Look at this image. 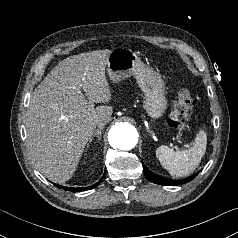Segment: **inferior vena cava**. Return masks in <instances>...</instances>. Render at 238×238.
<instances>
[{
    "instance_id": "obj_1",
    "label": "inferior vena cava",
    "mask_w": 238,
    "mask_h": 238,
    "mask_svg": "<svg viewBox=\"0 0 238 238\" xmlns=\"http://www.w3.org/2000/svg\"><path fill=\"white\" fill-rule=\"evenodd\" d=\"M107 122H108L107 119L100 120V121H98L97 126H98L99 128L104 127Z\"/></svg>"
}]
</instances>
